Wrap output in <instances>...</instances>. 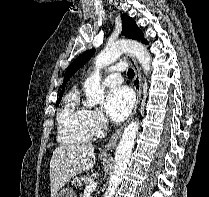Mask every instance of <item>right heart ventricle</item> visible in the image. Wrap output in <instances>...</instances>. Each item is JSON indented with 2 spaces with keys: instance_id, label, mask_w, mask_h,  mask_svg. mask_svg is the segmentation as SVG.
<instances>
[{
  "instance_id": "1",
  "label": "right heart ventricle",
  "mask_w": 209,
  "mask_h": 197,
  "mask_svg": "<svg viewBox=\"0 0 209 197\" xmlns=\"http://www.w3.org/2000/svg\"><path fill=\"white\" fill-rule=\"evenodd\" d=\"M57 122L58 139L61 143H85L94 135L89 123V110L80 103L76 90L67 95L58 113Z\"/></svg>"
}]
</instances>
